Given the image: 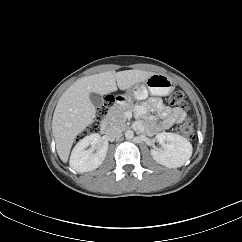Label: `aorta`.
Returning a JSON list of instances; mask_svg holds the SVG:
<instances>
[{
    "label": "aorta",
    "instance_id": "1",
    "mask_svg": "<svg viewBox=\"0 0 242 242\" xmlns=\"http://www.w3.org/2000/svg\"><path fill=\"white\" fill-rule=\"evenodd\" d=\"M126 139H132L134 137V132L132 130H127L125 132Z\"/></svg>",
    "mask_w": 242,
    "mask_h": 242
}]
</instances>
